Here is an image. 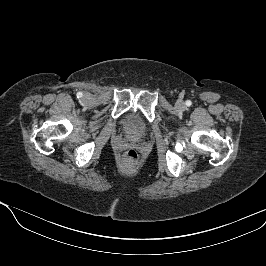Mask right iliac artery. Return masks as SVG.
I'll return each mask as SVG.
<instances>
[{"instance_id": "82829eb1", "label": "right iliac artery", "mask_w": 266, "mask_h": 266, "mask_svg": "<svg viewBox=\"0 0 266 266\" xmlns=\"http://www.w3.org/2000/svg\"><path fill=\"white\" fill-rule=\"evenodd\" d=\"M82 95H83L82 92H78V93H77V97H78V98H81Z\"/></svg>"}]
</instances>
